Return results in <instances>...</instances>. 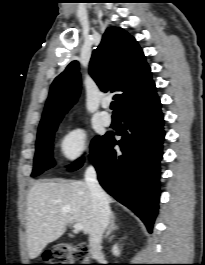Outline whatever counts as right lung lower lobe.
<instances>
[{
    "instance_id": "1",
    "label": "right lung lower lobe",
    "mask_w": 205,
    "mask_h": 265,
    "mask_svg": "<svg viewBox=\"0 0 205 265\" xmlns=\"http://www.w3.org/2000/svg\"><path fill=\"white\" fill-rule=\"evenodd\" d=\"M160 99L154 92L142 103L119 113L116 141L107 133L91 156L101 186L131 209L152 232L158 211L159 162L164 140ZM120 146V151L114 149Z\"/></svg>"
}]
</instances>
